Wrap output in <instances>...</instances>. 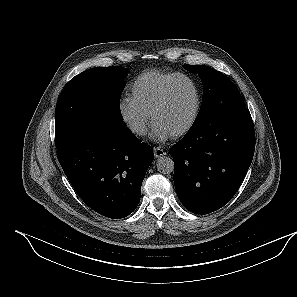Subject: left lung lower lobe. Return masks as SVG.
<instances>
[{
	"mask_svg": "<svg viewBox=\"0 0 297 297\" xmlns=\"http://www.w3.org/2000/svg\"><path fill=\"white\" fill-rule=\"evenodd\" d=\"M254 149V126L246 107L190 129L170 149L174 184L184 207L208 214L227 204L249 169Z\"/></svg>",
	"mask_w": 297,
	"mask_h": 297,
	"instance_id": "1",
	"label": "left lung lower lobe"
}]
</instances>
